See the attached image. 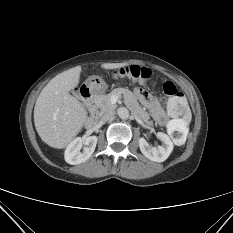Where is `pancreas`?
Returning a JSON list of instances; mask_svg holds the SVG:
<instances>
[{
    "label": "pancreas",
    "mask_w": 233,
    "mask_h": 233,
    "mask_svg": "<svg viewBox=\"0 0 233 233\" xmlns=\"http://www.w3.org/2000/svg\"><path fill=\"white\" fill-rule=\"evenodd\" d=\"M123 95L127 104L133 107V113L137 118L141 119L147 124H152L150 121L149 114L139 106V103L135 95L128 89L125 88H116L112 90L109 94L99 95L95 99V105L99 113H105L107 111H112L116 108V105L111 103L112 96Z\"/></svg>",
    "instance_id": "cf45deb5"
}]
</instances>
